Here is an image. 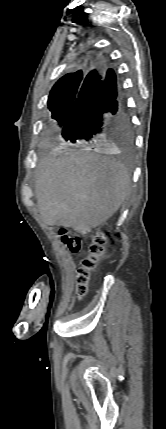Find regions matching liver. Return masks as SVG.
Returning <instances> with one entry per match:
<instances>
[{"mask_svg": "<svg viewBox=\"0 0 166 429\" xmlns=\"http://www.w3.org/2000/svg\"><path fill=\"white\" fill-rule=\"evenodd\" d=\"M119 161L88 152H63L40 160L35 180L38 210L46 224L87 234L119 209L130 191Z\"/></svg>", "mask_w": 166, "mask_h": 429, "instance_id": "obj_1", "label": "liver"}]
</instances>
